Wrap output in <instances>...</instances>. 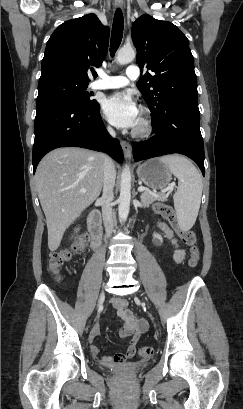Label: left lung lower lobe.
Masks as SVG:
<instances>
[{"mask_svg": "<svg viewBox=\"0 0 243 409\" xmlns=\"http://www.w3.org/2000/svg\"><path fill=\"white\" fill-rule=\"evenodd\" d=\"M199 116L197 92L180 93L169 98L156 113H152L151 125L155 136L134 143L135 161L180 153L194 160L204 176V144Z\"/></svg>", "mask_w": 243, "mask_h": 409, "instance_id": "left-lung-lower-lobe-1", "label": "left lung lower lobe"}]
</instances>
